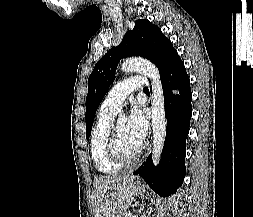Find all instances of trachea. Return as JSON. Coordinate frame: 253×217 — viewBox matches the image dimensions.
Returning <instances> with one entry per match:
<instances>
[{"mask_svg":"<svg viewBox=\"0 0 253 217\" xmlns=\"http://www.w3.org/2000/svg\"><path fill=\"white\" fill-rule=\"evenodd\" d=\"M143 90H144L145 92H148V91H149V89H148V88H146V87H145Z\"/></svg>","mask_w":253,"mask_h":217,"instance_id":"obj_1","label":"trachea"}]
</instances>
